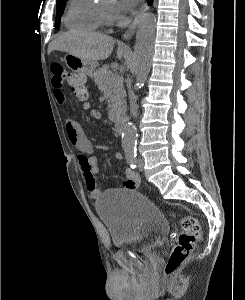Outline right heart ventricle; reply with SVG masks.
<instances>
[{
    "label": "right heart ventricle",
    "instance_id": "obj_1",
    "mask_svg": "<svg viewBox=\"0 0 245 300\" xmlns=\"http://www.w3.org/2000/svg\"><path fill=\"white\" fill-rule=\"evenodd\" d=\"M104 19V10L94 0H71L65 17L66 26L71 30H98Z\"/></svg>",
    "mask_w": 245,
    "mask_h": 300
}]
</instances>
